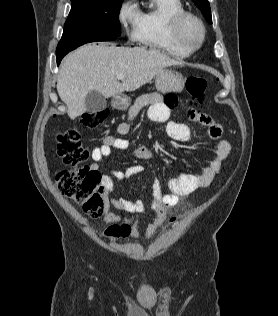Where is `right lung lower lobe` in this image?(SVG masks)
I'll return each instance as SVG.
<instances>
[{
    "instance_id": "obj_1",
    "label": "right lung lower lobe",
    "mask_w": 278,
    "mask_h": 316,
    "mask_svg": "<svg viewBox=\"0 0 278 316\" xmlns=\"http://www.w3.org/2000/svg\"><path fill=\"white\" fill-rule=\"evenodd\" d=\"M64 56H57V64L59 65L60 61L62 60Z\"/></svg>"
}]
</instances>
